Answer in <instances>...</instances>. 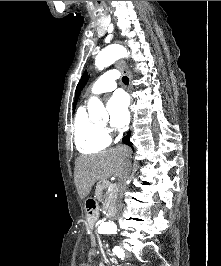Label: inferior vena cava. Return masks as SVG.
<instances>
[{
    "label": "inferior vena cava",
    "instance_id": "1",
    "mask_svg": "<svg viewBox=\"0 0 221 266\" xmlns=\"http://www.w3.org/2000/svg\"><path fill=\"white\" fill-rule=\"evenodd\" d=\"M130 169H131V164H130V162H127L124 174L122 175V177L119 180L120 191H118V192H123L124 189L126 188L127 180L129 178V174H130Z\"/></svg>",
    "mask_w": 221,
    "mask_h": 266
}]
</instances>
